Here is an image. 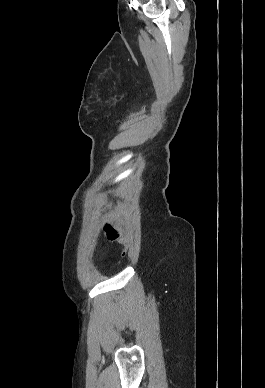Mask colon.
<instances>
[{"mask_svg":"<svg viewBox=\"0 0 265 388\" xmlns=\"http://www.w3.org/2000/svg\"><path fill=\"white\" fill-rule=\"evenodd\" d=\"M104 231L110 241H117L125 246L123 253V255H125L128 242L123 236L122 230L117 227L113 221H107L104 225Z\"/></svg>","mask_w":265,"mask_h":388,"instance_id":"1","label":"colon"}]
</instances>
